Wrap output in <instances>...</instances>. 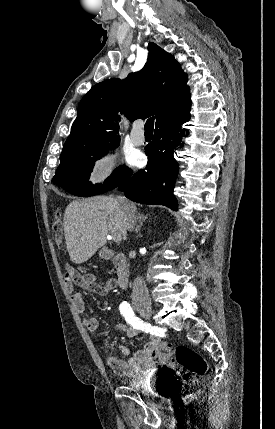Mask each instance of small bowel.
<instances>
[{
	"label": "small bowel",
	"instance_id": "obj_1",
	"mask_svg": "<svg viewBox=\"0 0 275 429\" xmlns=\"http://www.w3.org/2000/svg\"><path fill=\"white\" fill-rule=\"evenodd\" d=\"M64 280L67 290L72 294V304L75 310L79 313H84L86 306L83 294L80 292H74L75 283L85 290L92 291L99 295H106L116 286V281L114 279H108L104 284H99L93 274H81L72 268H70V275L68 277L64 276ZM83 323L91 332H95L99 329V321L95 317L86 316L83 318ZM114 330L123 332L130 338L135 337L139 333V329L124 325H117L114 327ZM161 344L162 342L159 338L152 336L145 344L144 348L137 351L131 357H129V349L125 345L119 344L118 349L120 350L123 358L110 356L107 358V364L117 374L126 377H136L142 373L155 371L157 363L159 362L158 351Z\"/></svg>",
	"mask_w": 275,
	"mask_h": 429
}]
</instances>
